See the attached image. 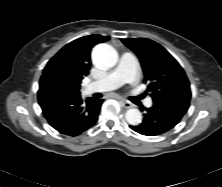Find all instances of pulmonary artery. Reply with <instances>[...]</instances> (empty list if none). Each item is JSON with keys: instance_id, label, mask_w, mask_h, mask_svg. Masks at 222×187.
I'll list each match as a JSON object with an SVG mask.
<instances>
[{"instance_id": "e3ab8cb5", "label": "pulmonary artery", "mask_w": 222, "mask_h": 187, "mask_svg": "<svg viewBox=\"0 0 222 187\" xmlns=\"http://www.w3.org/2000/svg\"><path fill=\"white\" fill-rule=\"evenodd\" d=\"M139 78L137 61L133 54L125 52L121 55L118 65L103 78L89 83L85 87L86 93L95 91L105 92L114 90L125 83H135ZM145 105L152 106V100L146 99Z\"/></svg>"}]
</instances>
